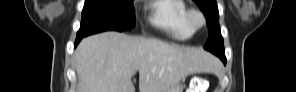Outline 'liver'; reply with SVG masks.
I'll return each instance as SVG.
<instances>
[{
	"label": "liver",
	"mask_w": 296,
	"mask_h": 92,
	"mask_svg": "<svg viewBox=\"0 0 296 92\" xmlns=\"http://www.w3.org/2000/svg\"><path fill=\"white\" fill-rule=\"evenodd\" d=\"M79 92H165L189 74L213 72L215 58L201 48L157 38L104 32L81 41L74 54Z\"/></svg>",
	"instance_id": "6515ba94"
}]
</instances>
